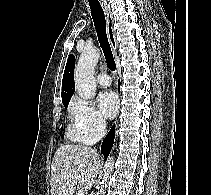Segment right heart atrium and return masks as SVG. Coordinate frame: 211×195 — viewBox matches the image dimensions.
Returning <instances> with one entry per match:
<instances>
[{
	"label": "right heart atrium",
	"instance_id": "right-heart-atrium-1",
	"mask_svg": "<svg viewBox=\"0 0 211 195\" xmlns=\"http://www.w3.org/2000/svg\"><path fill=\"white\" fill-rule=\"evenodd\" d=\"M72 136L79 142L92 144L102 137L106 122L100 112L89 102L75 98L70 105Z\"/></svg>",
	"mask_w": 211,
	"mask_h": 195
}]
</instances>
